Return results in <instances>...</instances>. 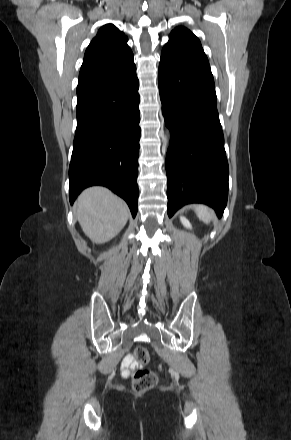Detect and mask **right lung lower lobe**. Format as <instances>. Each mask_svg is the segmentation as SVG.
I'll use <instances>...</instances> for the list:
<instances>
[{
	"label": "right lung lower lobe",
	"instance_id": "obj_1",
	"mask_svg": "<svg viewBox=\"0 0 291 440\" xmlns=\"http://www.w3.org/2000/svg\"><path fill=\"white\" fill-rule=\"evenodd\" d=\"M136 68L114 78L77 86V128L69 167L73 204L86 187L102 185L138 209L140 140Z\"/></svg>",
	"mask_w": 291,
	"mask_h": 440
}]
</instances>
